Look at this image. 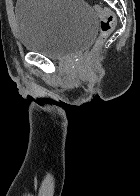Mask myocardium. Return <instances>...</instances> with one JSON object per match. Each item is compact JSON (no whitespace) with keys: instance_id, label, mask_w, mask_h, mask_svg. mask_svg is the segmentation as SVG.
<instances>
[{"instance_id":"myocardium-1","label":"myocardium","mask_w":140,"mask_h":196,"mask_svg":"<svg viewBox=\"0 0 140 196\" xmlns=\"http://www.w3.org/2000/svg\"><path fill=\"white\" fill-rule=\"evenodd\" d=\"M41 192H57V191H41Z\"/></svg>"}]
</instances>
